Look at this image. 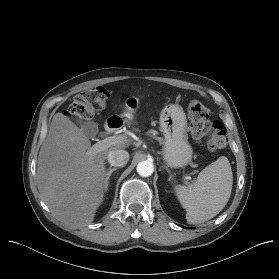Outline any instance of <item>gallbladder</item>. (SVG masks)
<instances>
[{
    "instance_id": "obj_1",
    "label": "gallbladder",
    "mask_w": 279,
    "mask_h": 279,
    "mask_svg": "<svg viewBox=\"0 0 279 279\" xmlns=\"http://www.w3.org/2000/svg\"><path fill=\"white\" fill-rule=\"evenodd\" d=\"M80 126L84 134L89 138L94 137L98 133V125L93 121L81 123Z\"/></svg>"
}]
</instances>
